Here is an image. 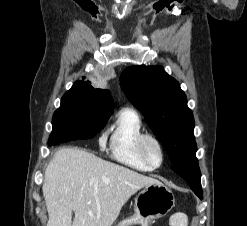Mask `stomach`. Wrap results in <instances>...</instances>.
Returning a JSON list of instances; mask_svg holds the SVG:
<instances>
[{
	"instance_id": "0dacf381",
	"label": "stomach",
	"mask_w": 247,
	"mask_h": 226,
	"mask_svg": "<svg viewBox=\"0 0 247 226\" xmlns=\"http://www.w3.org/2000/svg\"><path fill=\"white\" fill-rule=\"evenodd\" d=\"M175 206L172 191L161 182L144 187L135 199L134 214L117 226H150L152 221L165 216Z\"/></svg>"
}]
</instances>
